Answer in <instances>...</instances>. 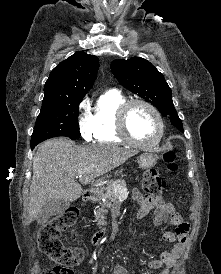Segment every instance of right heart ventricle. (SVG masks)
<instances>
[{
	"label": "right heart ventricle",
	"mask_w": 221,
	"mask_h": 274,
	"mask_svg": "<svg viewBox=\"0 0 221 274\" xmlns=\"http://www.w3.org/2000/svg\"><path fill=\"white\" fill-rule=\"evenodd\" d=\"M127 97L117 89L103 92L94 107L93 129L94 138L99 143L125 144L117 129V114Z\"/></svg>",
	"instance_id": "e07e8e85"
}]
</instances>
